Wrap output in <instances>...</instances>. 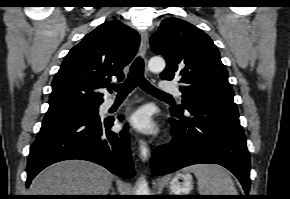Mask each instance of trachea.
I'll return each instance as SVG.
<instances>
[{
	"mask_svg": "<svg viewBox=\"0 0 290 199\" xmlns=\"http://www.w3.org/2000/svg\"><path fill=\"white\" fill-rule=\"evenodd\" d=\"M143 70L144 61L141 57H137L131 65L128 78L121 84L111 85L110 88L115 90L118 96L128 95L136 86H139L146 93L156 97L170 96L151 85L144 77Z\"/></svg>",
	"mask_w": 290,
	"mask_h": 199,
	"instance_id": "1",
	"label": "trachea"
}]
</instances>
